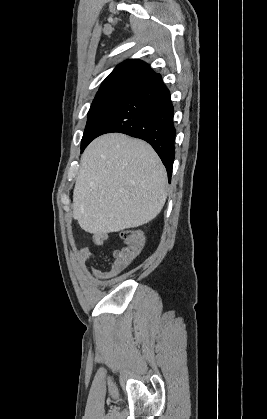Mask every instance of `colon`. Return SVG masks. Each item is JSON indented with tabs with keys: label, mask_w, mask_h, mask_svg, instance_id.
<instances>
[{
	"label": "colon",
	"mask_w": 267,
	"mask_h": 419,
	"mask_svg": "<svg viewBox=\"0 0 267 419\" xmlns=\"http://www.w3.org/2000/svg\"><path fill=\"white\" fill-rule=\"evenodd\" d=\"M123 245L113 253V263L117 269L125 268L141 252L144 245V237L138 229H127L121 233Z\"/></svg>",
	"instance_id": "1"
}]
</instances>
